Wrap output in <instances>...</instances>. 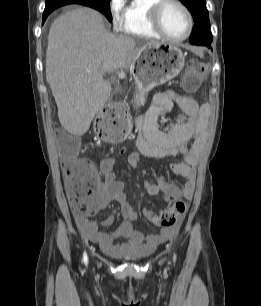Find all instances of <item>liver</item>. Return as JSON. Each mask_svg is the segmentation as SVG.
I'll return each mask as SVG.
<instances>
[{"label":"liver","mask_w":261,"mask_h":306,"mask_svg":"<svg viewBox=\"0 0 261 306\" xmlns=\"http://www.w3.org/2000/svg\"><path fill=\"white\" fill-rule=\"evenodd\" d=\"M158 44L110 33L91 8L60 15L48 35L46 79L61 125L71 134H85L110 97L103 75L127 68L142 50Z\"/></svg>","instance_id":"6515ba94"}]
</instances>
